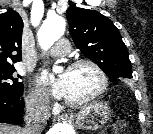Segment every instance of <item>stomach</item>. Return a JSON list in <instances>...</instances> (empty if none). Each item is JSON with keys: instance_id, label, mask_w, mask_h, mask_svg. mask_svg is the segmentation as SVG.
Instances as JSON below:
<instances>
[{"instance_id": "0dacf381", "label": "stomach", "mask_w": 153, "mask_h": 134, "mask_svg": "<svg viewBox=\"0 0 153 134\" xmlns=\"http://www.w3.org/2000/svg\"><path fill=\"white\" fill-rule=\"evenodd\" d=\"M109 118L110 107L102 102H93L76 115V124L83 130L94 131L104 126Z\"/></svg>"}]
</instances>
